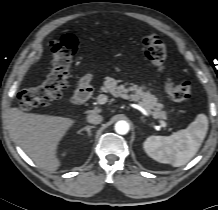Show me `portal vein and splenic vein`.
<instances>
[{"instance_id": "1", "label": "portal vein and splenic vein", "mask_w": 218, "mask_h": 210, "mask_svg": "<svg viewBox=\"0 0 218 210\" xmlns=\"http://www.w3.org/2000/svg\"><path fill=\"white\" fill-rule=\"evenodd\" d=\"M97 102H98V104H105L107 102V97L105 95L101 94L97 97ZM136 108L142 112H146L145 109L142 108L141 106H136ZM159 123H160L161 127L165 128L167 126L166 122H164L162 120H159Z\"/></svg>"}]
</instances>
